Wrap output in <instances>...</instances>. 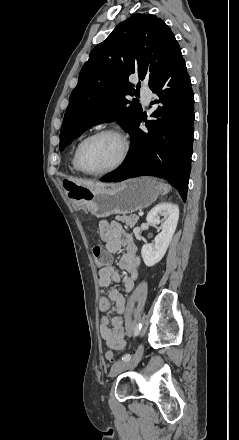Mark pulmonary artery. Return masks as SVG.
<instances>
[{
  "instance_id": "1",
  "label": "pulmonary artery",
  "mask_w": 239,
  "mask_h": 440,
  "mask_svg": "<svg viewBox=\"0 0 239 440\" xmlns=\"http://www.w3.org/2000/svg\"><path fill=\"white\" fill-rule=\"evenodd\" d=\"M152 97V94L150 91L146 92L145 94H143V98L145 101H149Z\"/></svg>"
}]
</instances>
